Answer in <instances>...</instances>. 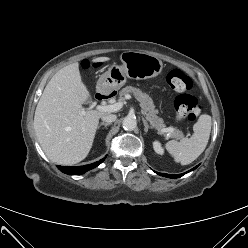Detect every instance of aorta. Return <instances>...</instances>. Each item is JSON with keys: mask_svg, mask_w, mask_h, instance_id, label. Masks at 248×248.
I'll return each instance as SVG.
<instances>
[{"mask_svg": "<svg viewBox=\"0 0 248 248\" xmlns=\"http://www.w3.org/2000/svg\"><path fill=\"white\" fill-rule=\"evenodd\" d=\"M122 126L127 131H132L137 126L136 118L133 116H126L122 122Z\"/></svg>", "mask_w": 248, "mask_h": 248, "instance_id": "aorta-1", "label": "aorta"}]
</instances>
